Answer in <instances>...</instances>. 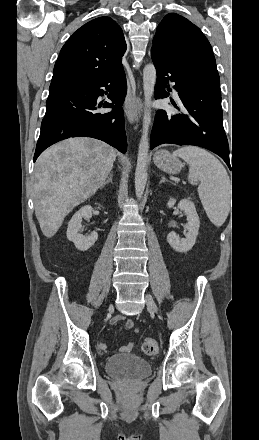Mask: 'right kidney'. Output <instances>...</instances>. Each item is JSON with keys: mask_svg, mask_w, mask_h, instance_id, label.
<instances>
[{"mask_svg": "<svg viewBox=\"0 0 259 440\" xmlns=\"http://www.w3.org/2000/svg\"><path fill=\"white\" fill-rule=\"evenodd\" d=\"M98 208H100V205ZM92 211L93 208L90 205L82 207L74 214L68 224V229L66 232L67 238L69 241L73 242L75 247L80 251L88 250L98 239V233L95 231L88 236H84L79 233L80 229L82 228V218H91Z\"/></svg>", "mask_w": 259, "mask_h": 440, "instance_id": "obj_1", "label": "right kidney"}]
</instances>
